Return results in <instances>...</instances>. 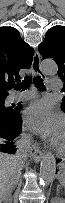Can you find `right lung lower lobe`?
<instances>
[{
  "instance_id": "1",
  "label": "right lung lower lobe",
  "mask_w": 65,
  "mask_h": 203,
  "mask_svg": "<svg viewBox=\"0 0 65 203\" xmlns=\"http://www.w3.org/2000/svg\"><path fill=\"white\" fill-rule=\"evenodd\" d=\"M21 106L13 108L8 114L0 113V138L13 140L21 133L22 118L20 116ZM0 151L6 153H15V146L10 142L0 144Z\"/></svg>"
}]
</instances>
